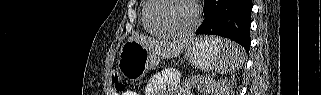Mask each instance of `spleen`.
Returning a JSON list of instances; mask_svg holds the SVG:
<instances>
[{
	"label": "spleen",
	"mask_w": 321,
	"mask_h": 95,
	"mask_svg": "<svg viewBox=\"0 0 321 95\" xmlns=\"http://www.w3.org/2000/svg\"><path fill=\"white\" fill-rule=\"evenodd\" d=\"M223 47V52L219 56L214 68L218 73L234 72L242 66L244 60V51L237 43L231 40H222L217 38Z\"/></svg>",
	"instance_id": "spleen-1"
}]
</instances>
